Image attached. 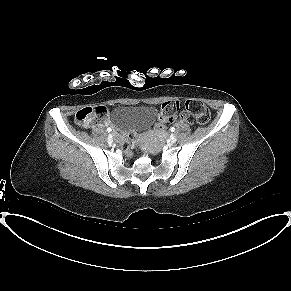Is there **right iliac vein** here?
Instances as JSON below:
<instances>
[{"instance_id": "63e3f726", "label": "right iliac vein", "mask_w": 291, "mask_h": 291, "mask_svg": "<svg viewBox=\"0 0 291 291\" xmlns=\"http://www.w3.org/2000/svg\"><path fill=\"white\" fill-rule=\"evenodd\" d=\"M113 142V138H112V135L110 134L109 136H108V143H112Z\"/></svg>"}]
</instances>
